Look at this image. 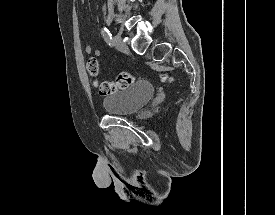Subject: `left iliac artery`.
Wrapping results in <instances>:
<instances>
[{"label": "left iliac artery", "instance_id": "44dca946", "mask_svg": "<svg viewBox=\"0 0 275 215\" xmlns=\"http://www.w3.org/2000/svg\"><path fill=\"white\" fill-rule=\"evenodd\" d=\"M102 35L106 43L112 45V34L106 27L103 28Z\"/></svg>", "mask_w": 275, "mask_h": 215}]
</instances>
